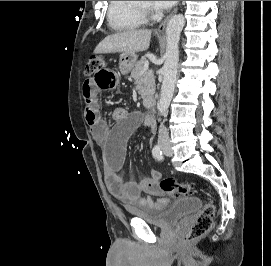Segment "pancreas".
<instances>
[{
    "instance_id": "cf45deb5",
    "label": "pancreas",
    "mask_w": 271,
    "mask_h": 266,
    "mask_svg": "<svg viewBox=\"0 0 271 266\" xmlns=\"http://www.w3.org/2000/svg\"><path fill=\"white\" fill-rule=\"evenodd\" d=\"M145 62H147V59L145 56H143L138 62H136V64L131 70L132 77H136L140 75L141 71L144 68ZM136 89L142 97L151 95L154 93L155 78H154L152 70H147L142 74L141 79L137 83Z\"/></svg>"
}]
</instances>
